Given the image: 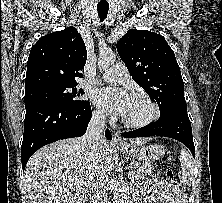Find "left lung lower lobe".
I'll use <instances>...</instances> for the list:
<instances>
[{
	"mask_svg": "<svg viewBox=\"0 0 222 203\" xmlns=\"http://www.w3.org/2000/svg\"><path fill=\"white\" fill-rule=\"evenodd\" d=\"M125 138L164 136L176 139L186 145L195 156L192 129L187 108L172 107L160 113V118L134 131L121 133Z\"/></svg>",
	"mask_w": 222,
	"mask_h": 203,
	"instance_id": "left-lung-lower-lobe-1",
	"label": "left lung lower lobe"
}]
</instances>
